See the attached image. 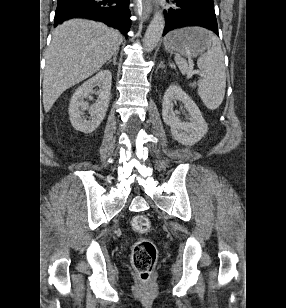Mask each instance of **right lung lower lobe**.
I'll return each mask as SVG.
<instances>
[{
  "label": "right lung lower lobe",
  "mask_w": 286,
  "mask_h": 308,
  "mask_svg": "<svg viewBox=\"0 0 286 308\" xmlns=\"http://www.w3.org/2000/svg\"><path fill=\"white\" fill-rule=\"evenodd\" d=\"M128 4L129 0H58L54 26L67 19L82 17L104 22L127 37L131 22Z\"/></svg>",
  "instance_id": "right-lung-lower-lobe-1"
}]
</instances>
